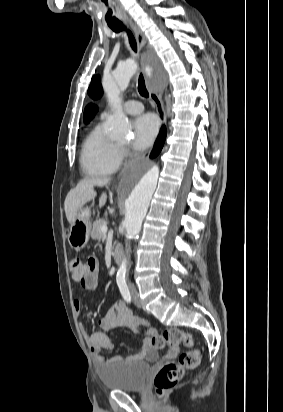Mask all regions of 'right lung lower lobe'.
Wrapping results in <instances>:
<instances>
[{"mask_svg": "<svg viewBox=\"0 0 283 412\" xmlns=\"http://www.w3.org/2000/svg\"><path fill=\"white\" fill-rule=\"evenodd\" d=\"M165 138H166V129H165V126H163V128L161 129V131L159 133V136H158V139L155 143V146H154V148H153V150L150 154L151 158L156 157L160 153V151H161V149L164 145Z\"/></svg>", "mask_w": 283, "mask_h": 412, "instance_id": "right-lung-lower-lobe-1", "label": "right lung lower lobe"}]
</instances>
